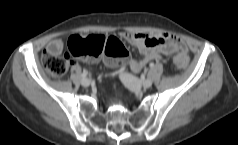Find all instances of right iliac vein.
<instances>
[{"label": "right iliac vein", "mask_w": 238, "mask_h": 145, "mask_svg": "<svg viewBox=\"0 0 238 145\" xmlns=\"http://www.w3.org/2000/svg\"><path fill=\"white\" fill-rule=\"evenodd\" d=\"M90 83H91V81L88 78H84V79L81 80V84L84 87H88L90 85Z\"/></svg>", "instance_id": "obj_1"}]
</instances>
